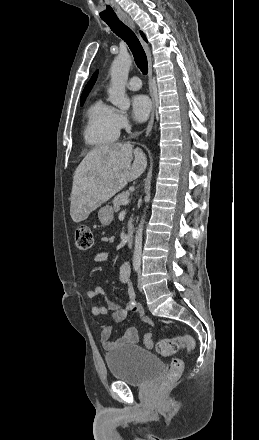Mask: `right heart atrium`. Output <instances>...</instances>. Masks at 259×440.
<instances>
[{
    "label": "right heart atrium",
    "instance_id": "1",
    "mask_svg": "<svg viewBox=\"0 0 259 440\" xmlns=\"http://www.w3.org/2000/svg\"><path fill=\"white\" fill-rule=\"evenodd\" d=\"M115 124H116L119 131L129 129L130 120H129L128 115L124 112L116 111Z\"/></svg>",
    "mask_w": 259,
    "mask_h": 440
}]
</instances>
